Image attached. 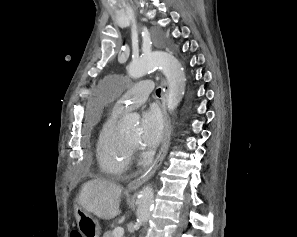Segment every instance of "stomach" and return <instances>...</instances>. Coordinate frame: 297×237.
Masks as SVG:
<instances>
[{
    "label": "stomach",
    "instance_id": "1",
    "mask_svg": "<svg viewBox=\"0 0 297 237\" xmlns=\"http://www.w3.org/2000/svg\"><path fill=\"white\" fill-rule=\"evenodd\" d=\"M75 217L77 226L82 237H99L100 225L97 219L93 218L81 207L76 208Z\"/></svg>",
    "mask_w": 297,
    "mask_h": 237
}]
</instances>
